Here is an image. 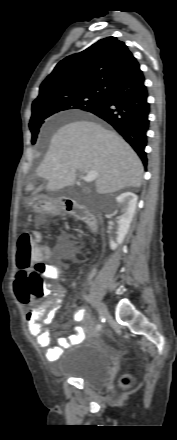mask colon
Wrapping results in <instances>:
<instances>
[{
    "label": "colon",
    "mask_w": 177,
    "mask_h": 440,
    "mask_svg": "<svg viewBox=\"0 0 177 440\" xmlns=\"http://www.w3.org/2000/svg\"><path fill=\"white\" fill-rule=\"evenodd\" d=\"M46 255V247L36 242L32 232L23 233L19 237L16 263L20 272L26 273L18 282L21 299L25 303L31 299H41L48 292L45 285L47 266L43 261ZM129 381V377H125L122 380L123 386H127Z\"/></svg>",
    "instance_id": "5ec220e1"
}]
</instances>
